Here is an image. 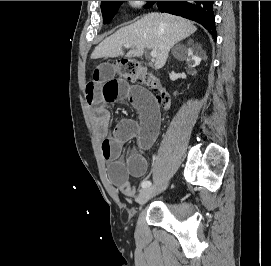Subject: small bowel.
I'll return each instance as SVG.
<instances>
[{"label": "small bowel", "instance_id": "c3829d8e", "mask_svg": "<svg viewBox=\"0 0 271 266\" xmlns=\"http://www.w3.org/2000/svg\"><path fill=\"white\" fill-rule=\"evenodd\" d=\"M85 97L92 110L95 131L103 139L101 149L105 159L110 161L111 182L124 195L134 197L135 188L130 177H141L147 171L144 156L157 139L161 117L151 94L115 76L112 66L103 64L95 68L85 87ZM127 100L138 112V120L122 119L109 132L110 113L108 105ZM136 139L138 151L132 152L126 161L120 158L122 147Z\"/></svg>", "mask_w": 271, "mask_h": 266}]
</instances>
